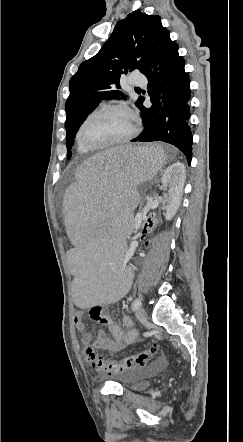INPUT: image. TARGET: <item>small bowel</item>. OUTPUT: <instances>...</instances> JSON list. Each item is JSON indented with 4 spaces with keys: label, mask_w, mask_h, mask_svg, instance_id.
Listing matches in <instances>:
<instances>
[{
    "label": "small bowel",
    "mask_w": 243,
    "mask_h": 442,
    "mask_svg": "<svg viewBox=\"0 0 243 442\" xmlns=\"http://www.w3.org/2000/svg\"><path fill=\"white\" fill-rule=\"evenodd\" d=\"M90 317L105 324L112 338L105 331L98 330L93 339L92 334L87 330L83 313L78 312L74 316V323L83 345L92 344L96 349L116 353L133 343L137 338V332L132 328L133 322L129 317L122 319L123 327L119 326L112 318L103 315L102 307H91Z\"/></svg>",
    "instance_id": "1"
}]
</instances>
